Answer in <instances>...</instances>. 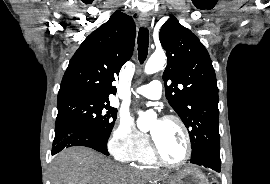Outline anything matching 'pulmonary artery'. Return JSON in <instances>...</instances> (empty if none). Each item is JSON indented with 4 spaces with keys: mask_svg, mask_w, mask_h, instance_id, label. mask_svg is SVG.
Returning a JSON list of instances; mask_svg holds the SVG:
<instances>
[{
    "mask_svg": "<svg viewBox=\"0 0 270 184\" xmlns=\"http://www.w3.org/2000/svg\"><path fill=\"white\" fill-rule=\"evenodd\" d=\"M162 85L158 80L140 86L135 90V94L146 97L148 99L157 100L161 97Z\"/></svg>",
    "mask_w": 270,
    "mask_h": 184,
    "instance_id": "e3ab8cb5",
    "label": "pulmonary artery"
}]
</instances>
